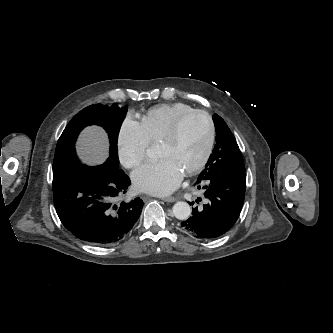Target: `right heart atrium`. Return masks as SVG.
I'll use <instances>...</instances> for the list:
<instances>
[{
  "mask_svg": "<svg viewBox=\"0 0 333 333\" xmlns=\"http://www.w3.org/2000/svg\"><path fill=\"white\" fill-rule=\"evenodd\" d=\"M150 143L141 122L127 115L120 125L116 139L120 162L126 168H135L144 160Z\"/></svg>",
  "mask_w": 333,
  "mask_h": 333,
  "instance_id": "right-heart-atrium-1",
  "label": "right heart atrium"
}]
</instances>
